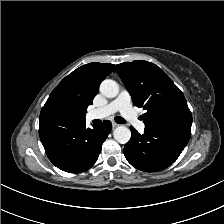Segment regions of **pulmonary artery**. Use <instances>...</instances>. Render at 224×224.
Listing matches in <instances>:
<instances>
[{
    "mask_svg": "<svg viewBox=\"0 0 224 224\" xmlns=\"http://www.w3.org/2000/svg\"><path fill=\"white\" fill-rule=\"evenodd\" d=\"M115 112L129 121L137 130L144 131L145 124L139 121L131 107V97L126 90H122L119 95L104 107L98 108L92 112L93 118H104Z\"/></svg>",
    "mask_w": 224,
    "mask_h": 224,
    "instance_id": "e3ab8cb5",
    "label": "pulmonary artery"
}]
</instances>
